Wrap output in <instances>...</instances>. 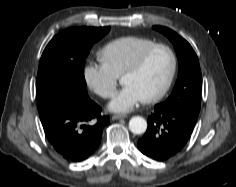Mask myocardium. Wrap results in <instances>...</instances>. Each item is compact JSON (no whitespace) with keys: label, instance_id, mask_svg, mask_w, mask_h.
I'll return each mask as SVG.
<instances>
[{"label":"myocardium","instance_id":"f54148a6","mask_svg":"<svg viewBox=\"0 0 236 187\" xmlns=\"http://www.w3.org/2000/svg\"><path fill=\"white\" fill-rule=\"evenodd\" d=\"M158 49L165 50L170 56L171 66H170L169 75H168V78H167L165 84L163 85V87L157 93H155L147 98H144L143 99L144 103L157 102V101L161 100L170 90V88L174 82L176 72H177V67H178V60H177V56H176L175 51L170 46H168L166 44L155 43V44L147 47L143 51H141L122 75L124 77V76H128V75L136 74L144 65L147 57L152 52H154L155 50H158Z\"/></svg>","mask_w":236,"mask_h":187}]
</instances>
